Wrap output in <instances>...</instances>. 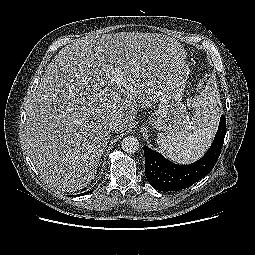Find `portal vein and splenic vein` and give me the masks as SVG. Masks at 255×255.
Wrapping results in <instances>:
<instances>
[{
	"instance_id": "18ae733b",
	"label": "portal vein and splenic vein",
	"mask_w": 255,
	"mask_h": 255,
	"mask_svg": "<svg viewBox=\"0 0 255 255\" xmlns=\"http://www.w3.org/2000/svg\"><path fill=\"white\" fill-rule=\"evenodd\" d=\"M111 75H112V77H113V79L117 82V83H119V84H121L122 83V75H121V69L120 68H114L113 70H112V72H111Z\"/></svg>"
}]
</instances>
